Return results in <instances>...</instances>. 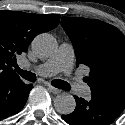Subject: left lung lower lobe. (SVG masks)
Instances as JSON below:
<instances>
[{"instance_id": "obj_1", "label": "left lung lower lobe", "mask_w": 125, "mask_h": 125, "mask_svg": "<svg viewBox=\"0 0 125 125\" xmlns=\"http://www.w3.org/2000/svg\"><path fill=\"white\" fill-rule=\"evenodd\" d=\"M74 98L75 110L61 116L70 125H110L125 109V97L115 94H92L89 101Z\"/></svg>"}]
</instances>
